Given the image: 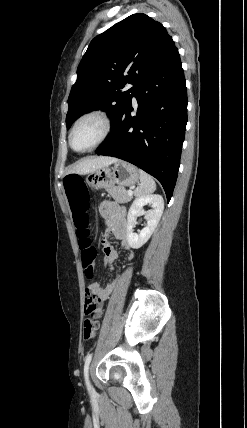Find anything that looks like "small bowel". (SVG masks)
Listing matches in <instances>:
<instances>
[{
  "instance_id": "small-bowel-1",
  "label": "small bowel",
  "mask_w": 247,
  "mask_h": 428,
  "mask_svg": "<svg viewBox=\"0 0 247 428\" xmlns=\"http://www.w3.org/2000/svg\"><path fill=\"white\" fill-rule=\"evenodd\" d=\"M100 214L106 220L108 228L113 236L121 241V245L125 250H130V244L128 241V225L126 221V215L124 210L115 202L105 201L100 205ZM104 262L110 266V269L114 270V262L118 258L116 249L109 243H105L103 246ZM132 254L129 255L131 259ZM118 282V276L106 285L101 282H93L86 286L85 291L89 298H102L106 301L115 289Z\"/></svg>"
}]
</instances>
